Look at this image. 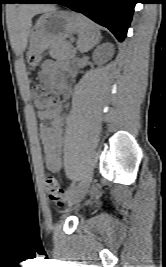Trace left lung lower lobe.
Wrapping results in <instances>:
<instances>
[{
	"mask_svg": "<svg viewBox=\"0 0 166 267\" xmlns=\"http://www.w3.org/2000/svg\"><path fill=\"white\" fill-rule=\"evenodd\" d=\"M32 3H59L67 6L108 28L122 42L126 37L136 0H35Z\"/></svg>",
	"mask_w": 166,
	"mask_h": 267,
	"instance_id": "1",
	"label": "left lung lower lobe"
}]
</instances>
